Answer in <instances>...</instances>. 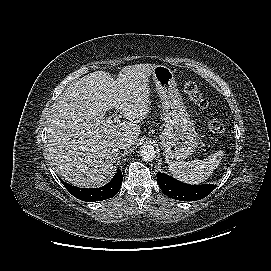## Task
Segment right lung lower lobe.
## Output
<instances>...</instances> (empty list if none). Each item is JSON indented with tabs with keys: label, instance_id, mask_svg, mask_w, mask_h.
Returning <instances> with one entry per match:
<instances>
[{
	"label": "right lung lower lobe",
	"instance_id": "98d812e1",
	"mask_svg": "<svg viewBox=\"0 0 271 271\" xmlns=\"http://www.w3.org/2000/svg\"><path fill=\"white\" fill-rule=\"evenodd\" d=\"M122 172L121 170H117V173L113 177V179L101 188L87 189V188H78L76 186H72L63 180L61 182L65 186V188L76 198L87 201L94 202L105 200L108 198L114 197L121 188L122 185Z\"/></svg>",
	"mask_w": 271,
	"mask_h": 271
}]
</instances>
